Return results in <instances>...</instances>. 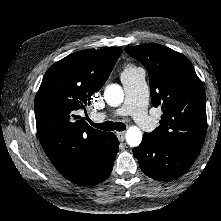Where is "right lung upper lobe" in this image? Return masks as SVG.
<instances>
[{
  "instance_id": "1",
  "label": "right lung upper lobe",
  "mask_w": 221,
  "mask_h": 221,
  "mask_svg": "<svg viewBox=\"0 0 221 221\" xmlns=\"http://www.w3.org/2000/svg\"><path fill=\"white\" fill-rule=\"evenodd\" d=\"M121 48L83 50L45 73L35 98L37 133L54 167L64 176L93 168L106 158L107 132L90 127L76 113L107 80Z\"/></svg>"
}]
</instances>
